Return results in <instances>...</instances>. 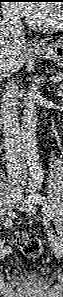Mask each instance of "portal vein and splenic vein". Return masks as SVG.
Returning a JSON list of instances; mask_svg holds the SVG:
<instances>
[{
    "label": "portal vein and splenic vein",
    "instance_id": "18ae733b",
    "mask_svg": "<svg viewBox=\"0 0 63 297\" xmlns=\"http://www.w3.org/2000/svg\"><path fill=\"white\" fill-rule=\"evenodd\" d=\"M63 78L61 77H58V76H51L50 77V81H53V82H57L58 80L59 81H62Z\"/></svg>",
    "mask_w": 63,
    "mask_h": 297
}]
</instances>
